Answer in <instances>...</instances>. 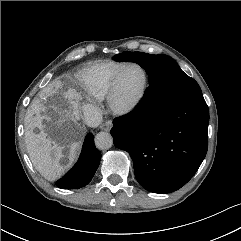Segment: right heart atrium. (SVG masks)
<instances>
[{
    "instance_id": "obj_1",
    "label": "right heart atrium",
    "mask_w": 241,
    "mask_h": 241,
    "mask_svg": "<svg viewBox=\"0 0 241 241\" xmlns=\"http://www.w3.org/2000/svg\"><path fill=\"white\" fill-rule=\"evenodd\" d=\"M97 113V109L94 106L93 102L91 101V103L89 104L88 108H87V117L90 121H92L94 115Z\"/></svg>"
}]
</instances>
